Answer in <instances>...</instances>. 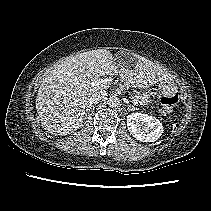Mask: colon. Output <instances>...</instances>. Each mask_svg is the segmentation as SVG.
<instances>
[{
  "mask_svg": "<svg viewBox=\"0 0 211 211\" xmlns=\"http://www.w3.org/2000/svg\"><path fill=\"white\" fill-rule=\"evenodd\" d=\"M179 101V95L178 94H172L168 96H164L161 99V103L163 105V108L167 112H171L174 105H176Z\"/></svg>",
  "mask_w": 211,
  "mask_h": 211,
  "instance_id": "5ec220e1",
  "label": "colon"
}]
</instances>
